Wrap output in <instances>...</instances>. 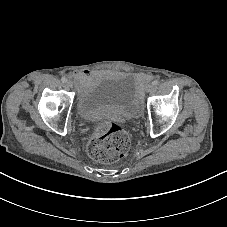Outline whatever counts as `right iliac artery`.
<instances>
[{
    "label": "right iliac artery",
    "mask_w": 227,
    "mask_h": 227,
    "mask_svg": "<svg viewBox=\"0 0 227 227\" xmlns=\"http://www.w3.org/2000/svg\"><path fill=\"white\" fill-rule=\"evenodd\" d=\"M61 81H62V82H66L67 79H66L65 77H62V78H61Z\"/></svg>",
    "instance_id": "82829eb1"
}]
</instances>
